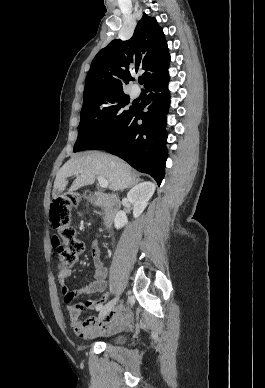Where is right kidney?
Listing matches in <instances>:
<instances>
[{
    "instance_id": "1",
    "label": "right kidney",
    "mask_w": 265,
    "mask_h": 388,
    "mask_svg": "<svg viewBox=\"0 0 265 388\" xmlns=\"http://www.w3.org/2000/svg\"><path fill=\"white\" fill-rule=\"evenodd\" d=\"M154 192L155 186L152 182H141V184H137V186H134V188L128 192L127 198L134 208V218H138V216L144 212ZM126 224H128L127 216L125 212L120 210V212H118L115 216L114 226L116 230H120V228H123Z\"/></svg>"
}]
</instances>
